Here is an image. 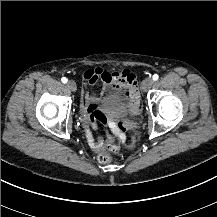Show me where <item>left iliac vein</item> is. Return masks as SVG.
Masks as SVG:
<instances>
[{"label": "left iliac vein", "instance_id": "1", "mask_svg": "<svg viewBox=\"0 0 217 217\" xmlns=\"http://www.w3.org/2000/svg\"><path fill=\"white\" fill-rule=\"evenodd\" d=\"M153 84H154V82L151 78H149V77L145 78L143 83H142L143 91H147L148 89H150Z\"/></svg>", "mask_w": 217, "mask_h": 217}]
</instances>
